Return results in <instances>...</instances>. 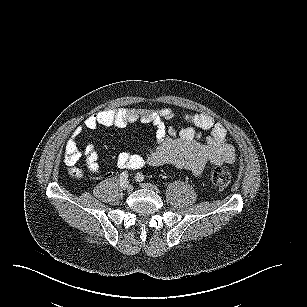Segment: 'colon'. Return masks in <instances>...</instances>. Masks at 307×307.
Masks as SVG:
<instances>
[{"label":"colon","instance_id":"obj_1","mask_svg":"<svg viewBox=\"0 0 307 307\" xmlns=\"http://www.w3.org/2000/svg\"><path fill=\"white\" fill-rule=\"evenodd\" d=\"M72 172L75 175L79 174V170L77 168H73ZM210 182L213 186L218 188H226L230 185L232 181L231 172L224 167H215L209 176Z\"/></svg>","mask_w":307,"mask_h":307}]
</instances>
